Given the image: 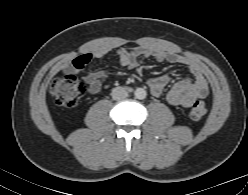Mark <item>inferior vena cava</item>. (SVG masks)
<instances>
[{
  "label": "inferior vena cava",
  "mask_w": 248,
  "mask_h": 195,
  "mask_svg": "<svg viewBox=\"0 0 248 195\" xmlns=\"http://www.w3.org/2000/svg\"><path fill=\"white\" fill-rule=\"evenodd\" d=\"M128 96V92L124 87H115L112 90V98L114 100H123Z\"/></svg>",
  "instance_id": "602c4592"
}]
</instances>
